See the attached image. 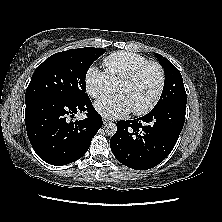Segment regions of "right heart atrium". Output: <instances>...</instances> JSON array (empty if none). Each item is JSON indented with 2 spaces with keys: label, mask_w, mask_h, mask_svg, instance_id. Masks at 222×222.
<instances>
[{
  "label": "right heart atrium",
  "mask_w": 222,
  "mask_h": 222,
  "mask_svg": "<svg viewBox=\"0 0 222 222\" xmlns=\"http://www.w3.org/2000/svg\"><path fill=\"white\" fill-rule=\"evenodd\" d=\"M85 85L88 94L95 99L112 93L116 86L108 74L97 67H91L86 73Z\"/></svg>",
  "instance_id": "1"
}]
</instances>
